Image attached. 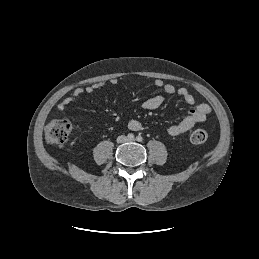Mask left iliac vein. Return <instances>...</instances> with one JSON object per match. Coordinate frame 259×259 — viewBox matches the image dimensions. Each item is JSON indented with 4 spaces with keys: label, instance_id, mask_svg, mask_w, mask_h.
<instances>
[{
    "label": "left iliac vein",
    "instance_id": "1",
    "mask_svg": "<svg viewBox=\"0 0 259 259\" xmlns=\"http://www.w3.org/2000/svg\"><path fill=\"white\" fill-rule=\"evenodd\" d=\"M128 141H134V139H128Z\"/></svg>",
    "mask_w": 259,
    "mask_h": 259
}]
</instances>
